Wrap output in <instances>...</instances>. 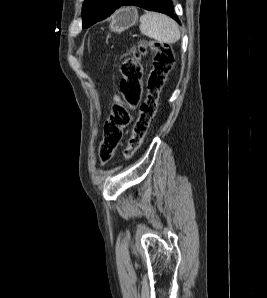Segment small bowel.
<instances>
[{
    "instance_id": "1",
    "label": "small bowel",
    "mask_w": 267,
    "mask_h": 298,
    "mask_svg": "<svg viewBox=\"0 0 267 298\" xmlns=\"http://www.w3.org/2000/svg\"><path fill=\"white\" fill-rule=\"evenodd\" d=\"M117 108H123L128 112V122L134 120V112L136 111V106L126 103L118 94L113 96V110Z\"/></svg>"
}]
</instances>
